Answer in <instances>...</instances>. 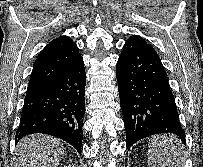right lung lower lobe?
<instances>
[{"instance_id":"98d812e1","label":"right lung lower lobe","mask_w":203,"mask_h":167,"mask_svg":"<svg viewBox=\"0 0 203 167\" xmlns=\"http://www.w3.org/2000/svg\"><path fill=\"white\" fill-rule=\"evenodd\" d=\"M85 83L80 57L48 85L27 92L15 142L29 134L44 133L67 141L81 153Z\"/></svg>"}]
</instances>
